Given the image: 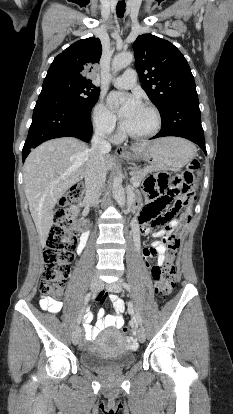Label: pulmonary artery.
I'll use <instances>...</instances> for the list:
<instances>
[{
    "mask_svg": "<svg viewBox=\"0 0 233 414\" xmlns=\"http://www.w3.org/2000/svg\"><path fill=\"white\" fill-rule=\"evenodd\" d=\"M137 82V73L134 69H127L122 75L113 80V84L122 89H129Z\"/></svg>",
    "mask_w": 233,
    "mask_h": 414,
    "instance_id": "1",
    "label": "pulmonary artery"
}]
</instances>
